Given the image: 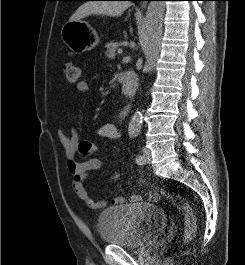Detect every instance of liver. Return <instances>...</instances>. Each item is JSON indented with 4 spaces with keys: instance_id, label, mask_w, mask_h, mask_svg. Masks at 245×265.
Returning <instances> with one entry per match:
<instances>
[{
    "instance_id": "6515ba94",
    "label": "liver",
    "mask_w": 245,
    "mask_h": 265,
    "mask_svg": "<svg viewBox=\"0 0 245 265\" xmlns=\"http://www.w3.org/2000/svg\"><path fill=\"white\" fill-rule=\"evenodd\" d=\"M130 6L127 1H88L76 10L69 21H79L90 15L117 17Z\"/></svg>"
}]
</instances>
